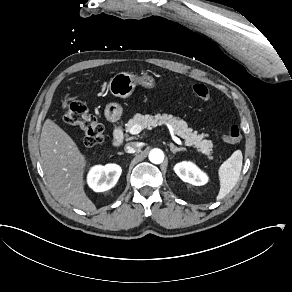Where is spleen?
Segmentation results:
<instances>
[{
	"instance_id": "obj_1",
	"label": "spleen",
	"mask_w": 292,
	"mask_h": 292,
	"mask_svg": "<svg viewBox=\"0 0 292 292\" xmlns=\"http://www.w3.org/2000/svg\"><path fill=\"white\" fill-rule=\"evenodd\" d=\"M243 155L236 150L219 168L220 191L217 200L224 198L236 185L242 170Z\"/></svg>"
}]
</instances>
